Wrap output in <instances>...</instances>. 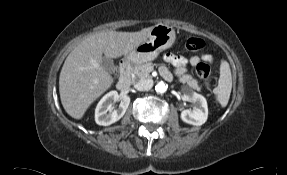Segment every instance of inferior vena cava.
<instances>
[{
  "label": "inferior vena cava",
  "mask_w": 287,
  "mask_h": 175,
  "mask_svg": "<svg viewBox=\"0 0 287 175\" xmlns=\"http://www.w3.org/2000/svg\"><path fill=\"white\" fill-rule=\"evenodd\" d=\"M153 86V80L152 79H143L138 81L134 87L139 91H146L151 89Z\"/></svg>",
  "instance_id": "obj_1"
}]
</instances>
